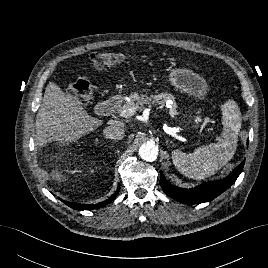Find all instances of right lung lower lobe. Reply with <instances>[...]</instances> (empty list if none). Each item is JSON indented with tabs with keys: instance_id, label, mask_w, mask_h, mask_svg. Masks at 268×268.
Masks as SVG:
<instances>
[{
	"instance_id": "obj_1",
	"label": "right lung lower lobe",
	"mask_w": 268,
	"mask_h": 268,
	"mask_svg": "<svg viewBox=\"0 0 268 268\" xmlns=\"http://www.w3.org/2000/svg\"><path fill=\"white\" fill-rule=\"evenodd\" d=\"M120 189V185L117 188V192L115 194H113L109 199L98 203V204H80V203H74V202H67L65 200L60 199L62 202H64L66 205H68L69 207L76 209V210H93V209H98L100 207H103L109 203H111L117 196L118 192Z\"/></svg>"
}]
</instances>
